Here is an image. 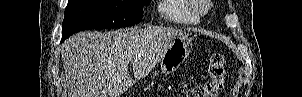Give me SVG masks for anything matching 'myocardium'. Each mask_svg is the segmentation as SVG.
Wrapping results in <instances>:
<instances>
[{"mask_svg": "<svg viewBox=\"0 0 302 97\" xmlns=\"http://www.w3.org/2000/svg\"><path fill=\"white\" fill-rule=\"evenodd\" d=\"M191 6L192 11L197 16L205 15L210 9L209 0H187Z\"/></svg>", "mask_w": 302, "mask_h": 97, "instance_id": "obj_1", "label": "myocardium"}]
</instances>
